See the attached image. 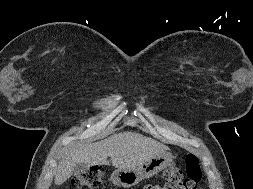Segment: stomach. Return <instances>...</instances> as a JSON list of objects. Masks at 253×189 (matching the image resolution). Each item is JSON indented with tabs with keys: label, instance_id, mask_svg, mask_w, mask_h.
Wrapping results in <instances>:
<instances>
[{
	"label": "stomach",
	"instance_id": "stomach-1",
	"mask_svg": "<svg viewBox=\"0 0 253 189\" xmlns=\"http://www.w3.org/2000/svg\"><path fill=\"white\" fill-rule=\"evenodd\" d=\"M173 161L169 152H163L133 169H117L111 175L112 182L123 188H130L141 180L150 178L167 168Z\"/></svg>",
	"mask_w": 253,
	"mask_h": 189
}]
</instances>
